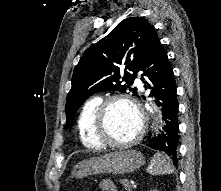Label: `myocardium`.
<instances>
[{"mask_svg": "<svg viewBox=\"0 0 221 191\" xmlns=\"http://www.w3.org/2000/svg\"><path fill=\"white\" fill-rule=\"evenodd\" d=\"M115 102H125L132 106L138 113L140 125L136 134L127 141H113L108 133V112L110 106ZM145 132V114L139 103L132 97L126 94H115L104 99L97 109L95 117V135L98 143L103 147L110 148H127L136 144L144 135Z\"/></svg>", "mask_w": 221, "mask_h": 191, "instance_id": "myocardium-1", "label": "myocardium"}]
</instances>
